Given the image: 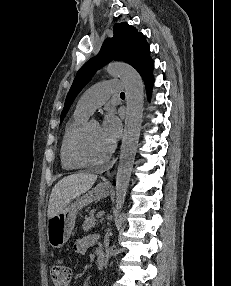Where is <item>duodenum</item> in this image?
I'll return each instance as SVG.
<instances>
[{
  "label": "duodenum",
  "mask_w": 231,
  "mask_h": 286,
  "mask_svg": "<svg viewBox=\"0 0 231 286\" xmlns=\"http://www.w3.org/2000/svg\"><path fill=\"white\" fill-rule=\"evenodd\" d=\"M96 263H97V268L99 270H102L105 265V254L102 249H97L96 251Z\"/></svg>",
  "instance_id": "obj_1"
}]
</instances>
